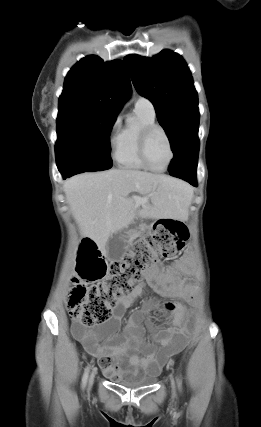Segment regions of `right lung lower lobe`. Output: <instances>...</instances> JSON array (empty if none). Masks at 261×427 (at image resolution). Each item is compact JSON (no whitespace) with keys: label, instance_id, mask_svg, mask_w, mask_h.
Wrapping results in <instances>:
<instances>
[{"label":"right lung lower lobe","instance_id":"right-lung-lower-lobe-1","mask_svg":"<svg viewBox=\"0 0 261 427\" xmlns=\"http://www.w3.org/2000/svg\"><path fill=\"white\" fill-rule=\"evenodd\" d=\"M89 171H99V170H93V169H87V168H78V167H69L65 168L63 170H60V173L63 175V178H69L75 174L82 173V172H89Z\"/></svg>","mask_w":261,"mask_h":427}]
</instances>
